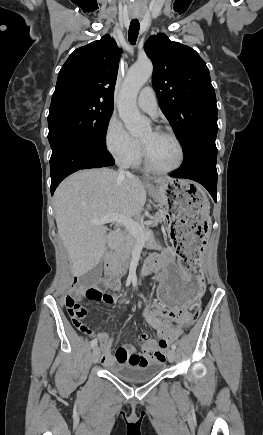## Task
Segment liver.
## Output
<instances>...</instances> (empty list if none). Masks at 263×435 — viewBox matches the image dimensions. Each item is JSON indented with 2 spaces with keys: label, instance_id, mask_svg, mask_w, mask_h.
Returning a JSON list of instances; mask_svg holds the SVG:
<instances>
[{
  "label": "liver",
  "instance_id": "liver-1",
  "mask_svg": "<svg viewBox=\"0 0 263 435\" xmlns=\"http://www.w3.org/2000/svg\"><path fill=\"white\" fill-rule=\"evenodd\" d=\"M170 179L153 180L159 184ZM145 201L146 191L139 178L121 176L107 168L81 170L58 186L54 193L55 220L73 276L91 271L108 248H119L123 241L122 234L108 232L105 224H93L91 220L109 215L139 216Z\"/></svg>",
  "mask_w": 263,
  "mask_h": 435
}]
</instances>
